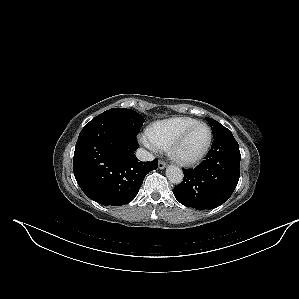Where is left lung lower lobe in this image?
I'll use <instances>...</instances> for the list:
<instances>
[{
    "mask_svg": "<svg viewBox=\"0 0 299 299\" xmlns=\"http://www.w3.org/2000/svg\"><path fill=\"white\" fill-rule=\"evenodd\" d=\"M211 150L195 169H183L175 198L197 210L213 209L232 195L239 180V145L227 128L213 134Z\"/></svg>",
    "mask_w": 299,
    "mask_h": 299,
    "instance_id": "left-lung-lower-lobe-1",
    "label": "left lung lower lobe"
}]
</instances>
